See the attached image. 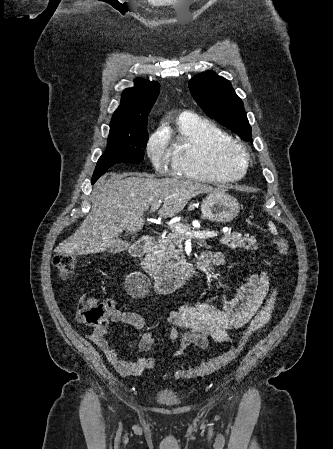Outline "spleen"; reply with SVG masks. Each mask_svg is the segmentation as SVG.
<instances>
[{"mask_svg":"<svg viewBox=\"0 0 333 449\" xmlns=\"http://www.w3.org/2000/svg\"><path fill=\"white\" fill-rule=\"evenodd\" d=\"M269 227L272 232L276 233V228L272 222L269 223Z\"/></svg>","mask_w":333,"mask_h":449,"instance_id":"spleen-1","label":"spleen"}]
</instances>
